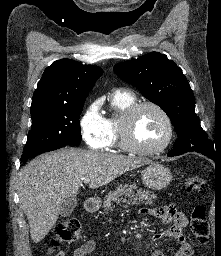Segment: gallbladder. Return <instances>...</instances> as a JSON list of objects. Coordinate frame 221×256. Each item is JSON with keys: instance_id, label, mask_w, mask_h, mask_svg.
<instances>
[{"instance_id": "1", "label": "gallbladder", "mask_w": 221, "mask_h": 256, "mask_svg": "<svg viewBox=\"0 0 221 256\" xmlns=\"http://www.w3.org/2000/svg\"><path fill=\"white\" fill-rule=\"evenodd\" d=\"M76 206H77L76 199L70 198L65 200L60 210L61 217L70 216Z\"/></svg>"}]
</instances>
